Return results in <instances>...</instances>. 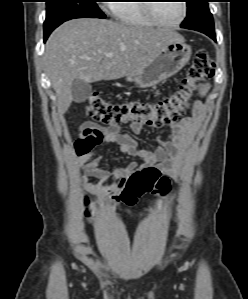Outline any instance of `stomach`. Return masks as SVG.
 <instances>
[{"instance_id":"stomach-1","label":"stomach","mask_w":248,"mask_h":299,"mask_svg":"<svg viewBox=\"0 0 248 299\" xmlns=\"http://www.w3.org/2000/svg\"><path fill=\"white\" fill-rule=\"evenodd\" d=\"M191 47L182 41L166 45L143 69L126 77L142 88L159 84L178 73L190 60Z\"/></svg>"}]
</instances>
